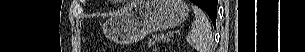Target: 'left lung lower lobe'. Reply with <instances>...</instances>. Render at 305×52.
<instances>
[{
	"mask_svg": "<svg viewBox=\"0 0 305 52\" xmlns=\"http://www.w3.org/2000/svg\"><path fill=\"white\" fill-rule=\"evenodd\" d=\"M191 2L201 7L209 15V17L210 13H217V0H201V2L198 0H191ZM210 19L212 20L213 25L216 26V19H212L211 17Z\"/></svg>",
	"mask_w": 305,
	"mask_h": 52,
	"instance_id": "0a47b994",
	"label": "left lung lower lobe"
}]
</instances>
